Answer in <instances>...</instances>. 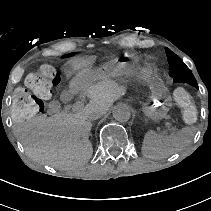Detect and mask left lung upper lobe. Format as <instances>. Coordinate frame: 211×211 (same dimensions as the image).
Returning <instances> with one entry per match:
<instances>
[{"label":"left lung upper lobe","instance_id":"obj_1","mask_svg":"<svg viewBox=\"0 0 211 211\" xmlns=\"http://www.w3.org/2000/svg\"><path fill=\"white\" fill-rule=\"evenodd\" d=\"M169 63V75L174 82L187 83L198 89L197 81L186 64L170 49L165 48Z\"/></svg>","mask_w":211,"mask_h":211}]
</instances>
